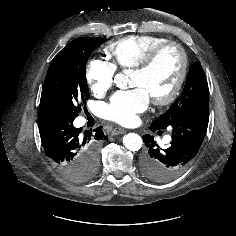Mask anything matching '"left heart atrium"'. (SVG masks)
<instances>
[{
	"label": "left heart atrium",
	"mask_w": 236,
	"mask_h": 236,
	"mask_svg": "<svg viewBox=\"0 0 236 236\" xmlns=\"http://www.w3.org/2000/svg\"><path fill=\"white\" fill-rule=\"evenodd\" d=\"M150 104V95L143 87L117 92L105 107V117L122 125L133 124L137 115Z\"/></svg>",
	"instance_id": "left-heart-atrium-1"
}]
</instances>
